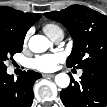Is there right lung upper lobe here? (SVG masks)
<instances>
[{"label": "right lung upper lobe", "mask_w": 107, "mask_h": 107, "mask_svg": "<svg viewBox=\"0 0 107 107\" xmlns=\"http://www.w3.org/2000/svg\"><path fill=\"white\" fill-rule=\"evenodd\" d=\"M40 18L41 14L24 13L11 7H0V24L21 37H25L27 30Z\"/></svg>", "instance_id": "1"}]
</instances>
